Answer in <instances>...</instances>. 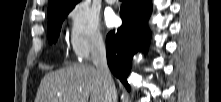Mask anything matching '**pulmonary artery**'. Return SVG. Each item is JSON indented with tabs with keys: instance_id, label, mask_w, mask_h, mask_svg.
<instances>
[{
	"instance_id": "obj_1",
	"label": "pulmonary artery",
	"mask_w": 221,
	"mask_h": 102,
	"mask_svg": "<svg viewBox=\"0 0 221 102\" xmlns=\"http://www.w3.org/2000/svg\"><path fill=\"white\" fill-rule=\"evenodd\" d=\"M106 2L109 4H114L116 2V0H106Z\"/></svg>"
}]
</instances>
